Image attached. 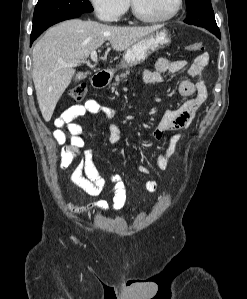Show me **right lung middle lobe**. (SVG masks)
I'll return each instance as SVG.
<instances>
[{"label":"right lung middle lobe","instance_id":"obj_1","mask_svg":"<svg viewBox=\"0 0 247 299\" xmlns=\"http://www.w3.org/2000/svg\"><path fill=\"white\" fill-rule=\"evenodd\" d=\"M93 7L88 0H38L33 16L31 35L71 14L89 13Z\"/></svg>","mask_w":247,"mask_h":299}]
</instances>
